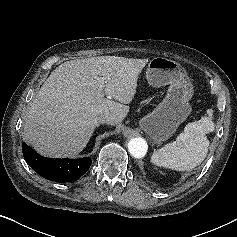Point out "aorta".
<instances>
[{
	"label": "aorta",
	"instance_id": "1",
	"mask_svg": "<svg viewBox=\"0 0 237 237\" xmlns=\"http://www.w3.org/2000/svg\"><path fill=\"white\" fill-rule=\"evenodd\" d=\"M148 149L147 142L141 137L133 138L128 143V150L135 158H142L145 156Z\"/></svg>",
	"mask_w": 237,
	"mask_h": 237
}]
</instances>
